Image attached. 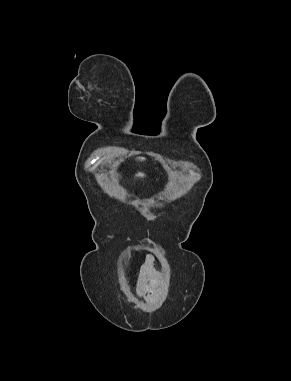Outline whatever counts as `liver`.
I'll use <instances>...</instances> for the list:
<instances>
[{"instance_id":"6515ba94","label":"liver","mask_w":291,"mask_h":381,"mask_svg":"<svg viewBox=\"0 0 291 381\" xmlns=\"http://www.w3.org/2000/svg\"><path fill=\"white\" fill-rule=\"evenodd\" d=\"M137 176H139V177H143L144 174H143V173H138Z\"/></svg>"}]
</instances>
